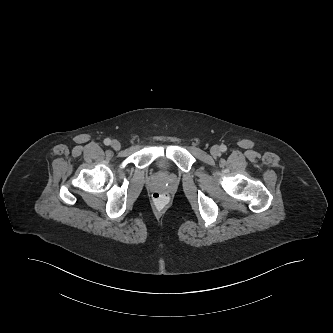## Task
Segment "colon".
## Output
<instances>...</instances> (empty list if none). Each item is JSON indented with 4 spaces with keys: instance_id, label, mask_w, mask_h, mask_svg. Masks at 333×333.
Wrapping results in <instances>:
<instances>
[{
    "instance_id": "5ec220e1",
    "label": "colon",
    "mask_w": 333,
    "mask_h": 333,
    "mask_svg": "<svg viewBox=\"0 0 333 333\" xmlns=\"http://www.w3.org/2000/svg\"><path fill=\"white\" fill-rule=\"evenodd\" d=\"M169 204V196L166 192L159 191L154 193L152 207L155 210H163Z\"/></svg>"
}]
</instances>
